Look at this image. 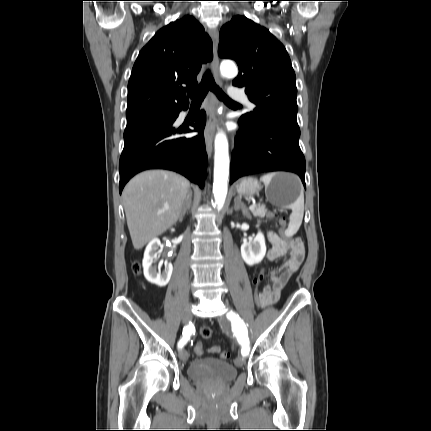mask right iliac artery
<instances>
[{"instance_id": "obj_1", "label": "right iliac artery", "mask_w": 431, "mask_h": 431, "mask_svg": "<svg viewBox=\"0 0 431 431\" xmlns=\"http://www.w3.org/2000/svg\"><path fill=\"white\" fill-rule=\"evenodd\" d=\"M193 325L189 323V325L183 328L182 338L178 342V348L181 349L189 340L191 334L193 333Z\"/></svg>"}]
</instances>
